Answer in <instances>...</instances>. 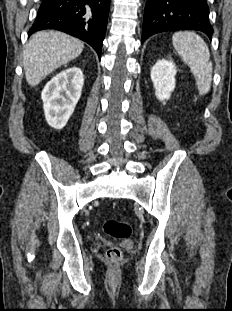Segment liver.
Instances as JSON below:
<instances>
[{
	"instance_id": "1",
	"label": "liver",
	"mask_w": 232,
	"mask_h": 311,
	"mask_svg": "<svg viewBox=\"0 0 232 311\" xmlns=\"http://www.w3.org/2000/svg\"><path fill=\"white\" fill-rule=\"evenodd\" d=\"M84 43L59 31H40L29 39L23 66L27 83L34 87L58 67L78 57Z\"/></svg>"
}]
</instances>
